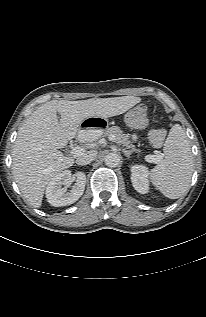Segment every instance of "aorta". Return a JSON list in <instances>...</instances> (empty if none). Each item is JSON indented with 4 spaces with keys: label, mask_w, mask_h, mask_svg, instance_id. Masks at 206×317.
I'll list each match as a JSON object with an SVG mask.
<instances>
[{
    "label": "aorta",
    "mask_w": 206,
    "mask_h": 317,
    "mask_svg": "<svg viewBox=\"0 0 206 317\" xmlns=\"http://www.w3.org/2000/svg\"><path fill=\"white\" fill-rule=\"evenodd\" d=\"M104 159L108 167H117L121 160L120 155L115 152L108 153Z\"/></svg>",
    "instance_id": "obj_1"
}]
</instances>
